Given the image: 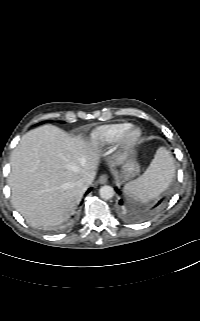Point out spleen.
Returning <instances> with one entry per match:
<instances>
[{
  "mask_svg": "<svg viewBox=\"0 0 200 321\" xmlns=\"http://www.w3.org/2000/svg\"><path fill=\"white\" fill-rule=\"evenodd\" d=\"M175 176L172 154L160 147L146 171L136 180L127 183L124 191L135 199L148 202L167 190Z\"/></svg>",
  "mask_w": 200,
  "mask_h": 321,
  "instance_id": "1",
  "label": "spleen"
}]
</instances>
